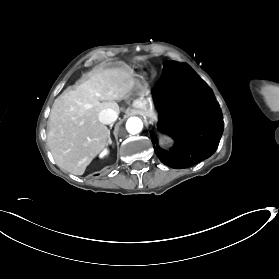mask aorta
<instances>
[{
  "instance_id": "762f6f07",
  "label": "aorta",
  "mask_w": 279,
  "mask_h": 279,
  "mask_svg": "<svg viewBox=\"0 0 279 279\" xmlns=\"http://www.w3.org/2000/svg\"><path fill=\"white\" fill-rule=\"evenodd\" d=\"M143 128V123L138 117H131L126 122V129L130 134H137Z\"/></svg>"
}]
</instances>
